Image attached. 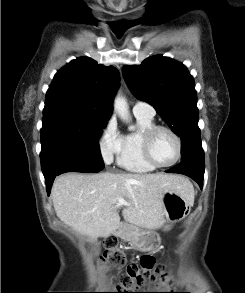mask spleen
<instances>
[{
	"label": "spleen",
	"instance_id": "3e777b00",
	"mask_svg": "<svg viewBox=\"0 0 245 293\" xmlns=\"http://www.w3.org/2000/svg\"><path fill=\"white\" fill-rule=\"evenodd\" d=\"M190 184V183H189ZM191 185V184H190ZM191 187H192V185H191ZM192 192L194 193V190H193V187H192Z\"/></svg>",
	"mask_w": 245,
	"mask_h": 293
}]
</instances>
